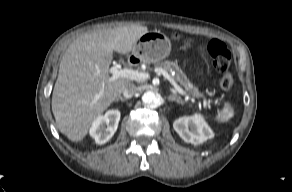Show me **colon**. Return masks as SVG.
<instances>
[{
	"mask_svg": "<svg viewBox=\"0 0 292 192\" xmlns=\"http://www.w3.org/2000/svg\"><path fill=\"white\" fill-rule=\"evenodd\" d=\"M185 45L189 46L190 41L186 40ZM208 51L212 57L215 70L223 74L220 82L221 89L224 91H229L234 84L231 74L228 73L232 62V55L229 49L224 42L218 39H213L208 44Z\"/></svg>",
	"mask_w": 292,
	"mask_h": 192,
	"instance_id": "1",
	"label": "colon"
}]
</instances>
